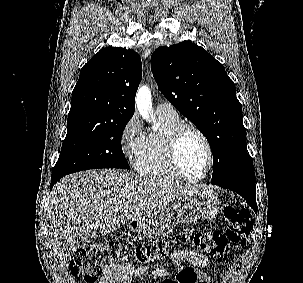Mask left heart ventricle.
Instances as JSON below:
<instances>
[{
	"mask_svg": "<svg viewBox=\"0 0 303 283\" xmlns=\"http://www.w3.org/2000/svg\"><path fill=\"white\" fill-rule=\"evenodd\" d=\"M178 155L181 168L187 176L197 178L204 174L208 156L197 134L190 130L183 133L179 142Z\"/></svg>",
	"mask_w": 303,
	"mask_h": 283,
	"instance_id": "1",
	"label": "left heart ventricle"
}]
</instances>
